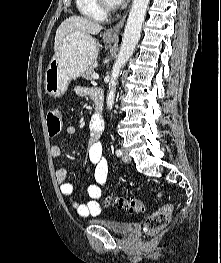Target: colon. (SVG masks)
<instances>
[{"label":"colon","instance_id":"obj_1","mask_svg":"<svg viewBox=\"0 0 221 263\" xmlns=\"http://www.w3.org/2000/svg\"><path fill=\"white\" fill-rule=\"evenodd\" d=\"M47 126L49 136H57L63 127L61 111L58 108H51L47 111ZM160 195V194H159ZM106 203H112L118 208L135 213L145 211L144 203L135 198L109 197ZM173 207L165 205L149 215L144 223V231L147 235H155L163 231L169 224Z\"/></svg>","mask_w":221,"mask_h":263}]
</instances>
